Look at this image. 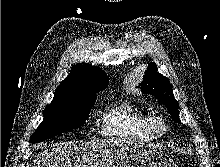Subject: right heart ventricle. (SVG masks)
I'll return each instance as SVG.
<instances>
[{
  "mask_svg": "<svg viewBox=\"0 0 220 167\" xmlns=\"http://www.w3.org/2000/svg\"><path fill=\"white\" fill-rule=\"evenodd\" d=\"M151 114L135 106L127 99H121L108 107L103 114L101 133L115 140L134 142L152 141L148 130Z\"/></svg>",
  "mask_w": 220,
  "mask_h": 167,
  "instance_id": "e07e8e85",
  "label": "right heart ventricle"
}]
</instances>
